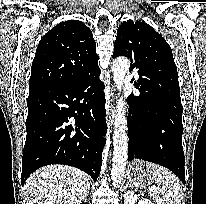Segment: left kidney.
<instances>
[{
  "label": "left kidney",
  "mask_w": 206,
  "mask_h": 204,
  "mask_svg": "<svg viewBox=\"0 0 206 204\" xmlns=\"http://www.w3.org/2000/svg\"><path fill=\"white\" fill-rule=\"evenodd\" d=\"M124 204H137V196L132 191H127L123 195ZM138 204H153L147 199H141Z\"/></svg>",
  "instance_id": "obj_1"
}]
</instances>
